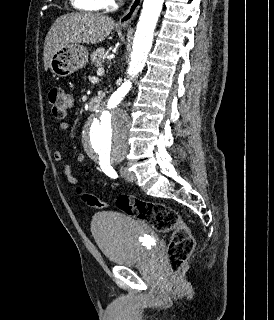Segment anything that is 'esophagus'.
Listing matches in <instances>:
<instances>
[{
    "mask_svg": "<svg viewBox=\"0 0 274 320\" xmlns=\"http://www.w3.org/2000/svg\"><path fill=\"white\" fill-rule=\"evenodd\" d=\"M141 3H142V0H132L129 8L126 10L124 15L120 17L118 21L120 26H126L131 24L132 20H134V18L137 15V12L140 8Z\"/></svg>",
    "mask_w": 274,
    "mask_h": 320,
    "instance_id": "esophagus-1",
    "label": "esophagus"
}]
</instances>
